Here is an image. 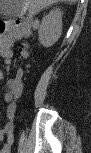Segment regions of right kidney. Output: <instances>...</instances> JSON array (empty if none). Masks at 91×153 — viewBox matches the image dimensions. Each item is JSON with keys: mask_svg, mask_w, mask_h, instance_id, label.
Returning <instances> with one entry per match:
<instances>
[{"mask_svg": "<svg viewBox=\"0 0 91 153\" xmlns=\"http://www.w3.org/2000/svg\"><path fill=\"white\" fill-rule=\"evenodd\" d=\"M62 31V16L59 8L52 9L43 17L38 30V39L43 47L51 46L60 36Z\"/></svg>", "mask_w": 91, "mask_h": 153, "instance_id": "obj_1", "label": "right kidney"}]
</instances>
